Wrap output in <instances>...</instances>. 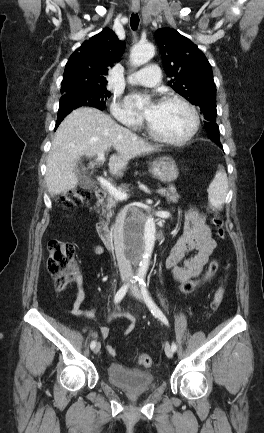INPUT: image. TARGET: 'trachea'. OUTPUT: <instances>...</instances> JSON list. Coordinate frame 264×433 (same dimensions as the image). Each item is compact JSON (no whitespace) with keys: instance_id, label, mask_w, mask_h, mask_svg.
Instances as JSON below:
<instances>
[{"instance_id":"1","label":"trachea","mask_w":264,"mask_h":433,"mask_svg":"<svg viewBox=\"0 0 264 433\" xmlns=\"http://www.w3.org/2000/svg\"><path fill=\"white\" fill-rule=\"evenodd\" d=\"M138 25H139L138 14L132 13L131 18H130V26H131L132 30H136L138 28Z\"/></svg>"}]
</instances>
